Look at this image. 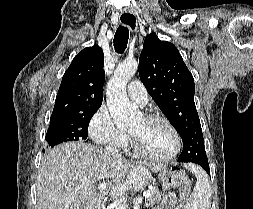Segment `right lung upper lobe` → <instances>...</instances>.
I'll return each mask as SVG.
<instances>
[{
  "label": "right lung upper lobe",
  "mask_w": 253,
  "mask_h": 209,
  "mask_svg": "<svg viewBox=\"0 0 253 209\" xmlns=\"http://www.w3.org/2000/svg\"><path fill=\"white\" fill-rule=\"evenodd\" d=\"M104 54L98 45L75 56L63 75L51 118L83 113L103 100Z\"/></svg>",
  "instance_id": "1"
}]
</instances>
